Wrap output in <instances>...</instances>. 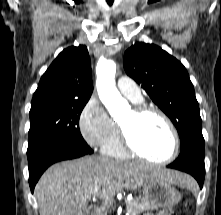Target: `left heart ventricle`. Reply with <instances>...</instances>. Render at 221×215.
Here are the masks:
<instances>
[{
	"label": "left heart ventricle",
	"mask_w": 221,
	"mask_h": 215,
	"mask_svg": "<svg viewBox=\"0 0 221 215\" xmlns=\"http://www.w3.org/2000/svg\"><path fill=\"white\" fill-rule=\"evenodd\" d=\"M120 123L127 128L135 147L153 160L167 158L173 148L172 136L162 121L155 114L135 117L130 111Z\"/></svg>",
	"instance_id": "b2bd125f"
}]
</instances>
